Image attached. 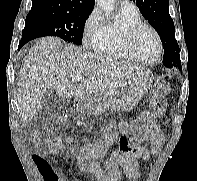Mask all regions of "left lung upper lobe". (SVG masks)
<instances>
[{
    "mask_svg": "<svg viewBox=\"0 0 197 181\" xmlns=\"http://www.w3.org/2000/svg\"><path fill=\"white\" fill-rule=\"evenodd\" d=\"M143 17L154 27L164 48L163 64L181 68L179 46L175 39L174 22L169 14L168 0H133Z\"/></svg>",
    "mask_w": 197,
    "mask_h": 181,
    "instance_id": "5c2ea615",
    "label": "left lung upper lobe"
}]
</instances>
